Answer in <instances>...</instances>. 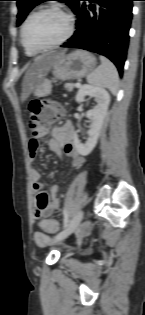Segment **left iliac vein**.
Masks as SVG:
<instances>
[{"mask_svg":"<svg viewBox=\"0 0 145 315\" xmlns=\"http://www.w3.org/2000/svg\"><path fill=\"white\" fill-rule=\"evenodd\" d=\"M84 212L81 210L79 211L70 221L68 226L60 232L55 238V242H59L67 238L71 233H73L81 224V221L83 219Z\"/></svg>","mask_w":145,"mask_h":315,"instance_id":"4c4485c4","label":"left iliac vein"}]
</instances>
